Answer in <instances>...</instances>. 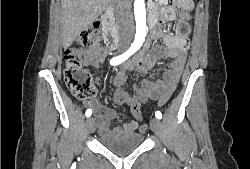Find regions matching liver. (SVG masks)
<instances>
[{"mask_svg": "<svg viewBox=\"0 0 250 169\" xmlns=\"http://www.w3.org/2000/svg\"><path fill=\"white\" fill-rule=\"evenodd\" d=\"M109 2L111 0H61L64 46H70L74 38L106 10Z\"/></svg>", "mask_w": 250, "mask_h": 169, "instance_id": "liver-1", "label": "liver"}]
</instances>
